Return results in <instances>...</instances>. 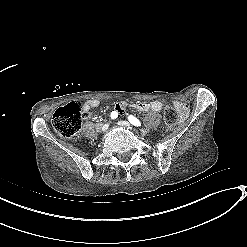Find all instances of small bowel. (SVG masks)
Returning <instances> with one entry per match:
<instances>
[{
    "label": "small bowel",
    "instance_id": "small-bowel-1",
    "mask_svg": "<svg viewBox=\"0 0 247 247\" xmlns=\"http://www.w3.org/2000/svg\"><path fill=\"white\" fill-rule=\"evenodd\" d=\"M99 103L100 102L97 99H90V100L85 101L81 105L83 113L89 114L92 109L99 106ZM128 107H131L132 109L137 110L139 112H150L151 111V112L159 113L162 111L164 105L161 101L138 102V103H133L131 105H128L126 102H118L115 105L114 110L117 114L124 115ZM175 107L180 112L181 117L186 116L188 112V108L186 105H184L181 102H176Z\"/></svg>",
    "mask_w": 247,
    "mask_h": 247
}]
</instances>
